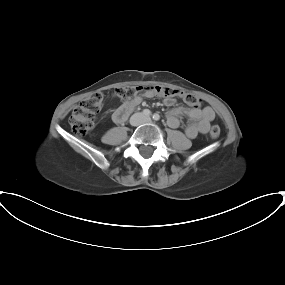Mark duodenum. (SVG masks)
I'll use <instances>...</instances> for the list:
<instances>
[{
	"mask_svg": "<svg viewBox=\"0 0 285 285\" xmlns=\"http://www.w3.org/2000/svg\"><path fill=\"white\" fill-rule=\"evenodd\" d=\"M133 110V106L129 103L123 105L121 108H119L116 113L114 120L116 122H122L126 119L128 114Z\"/></svg>",
	"mask_w": 285,
	"mask_h": 285,
	"instance_id": "obj_1",
	"label": "duodenum"
}]
</instances>
